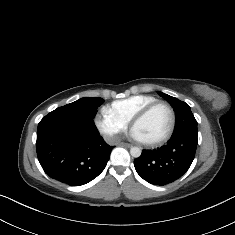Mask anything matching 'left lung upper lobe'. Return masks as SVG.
I'll use <instances>...</instances> for the list:
<instances>
[{
	"instance_id": "1",
	"label": "left lung upper lobe",
	"mask_w": 235,
	"mask_h": 235,
	"mask_svg": "<svg viewBox=\"0 0 235 235\" xmlns=\"http://www.w3.org/2000/svg\"><path fill=\"white\" fill-rule=\"evenodd\" d=\"M173 107L176 112V124L172 136L179 134L197 135V121L193 116L190 107L183 101L165 93L159 92Z\"/></svg>"
}]
</instances>
